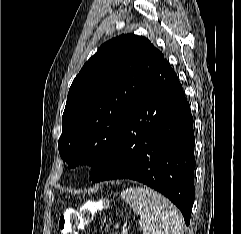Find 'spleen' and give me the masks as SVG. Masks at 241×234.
I'll use <instances>...</instances> for the list:
<instances>
[{"label": "spleen", "instance_id": "spleen-1", "mask_svg": "<svg viewBox=\"0 0 241 234\" xmlns=\"http://www.w3.org/2000/svg\"><path fill=\"white\" fill-rule=\"evenodd\" d=\"M121 197L140 215L143 234H184L182 217L160 193L148 187H130Z\"/></svg>", "mask_w": 241, "mask_h": 234}]
</instances>
